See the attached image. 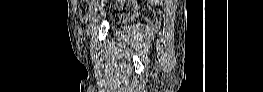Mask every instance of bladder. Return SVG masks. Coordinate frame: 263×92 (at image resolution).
Listing matches in <instances>:
<instances>
[{
    "label": "bladder",
    "instance_id": "bladder-1",
    "mask_svg": "<svg viewBox=\"0 0 263 92\" xmlns=\"http://www.w3.org/2000/svg\"><path fill=\"white\" fill-rule=\"evenodd\" d=\"M116 20H117V21H120V20H121V17H116Z\"/></svg>",
    "mask_w": 263,
    "mask_h": 92
}]
</instances>
